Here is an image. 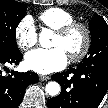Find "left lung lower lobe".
<instances>
[{
	"instance_id": "1",
	"label": "left lung lower lobe",
	"mask_w": 108,
	"mask_h": 108,
	"mask_svg": "<svg viewBox=\"0 0 108 108\" xmlns=\"http://www.w3.org/2000/svg\"><path fill=\"white\" fill-rule=\"evenodd\" d=\"M61 87V93L47 101L48 108H98L108 91V63L79 65L66 72L52 75ZM76 90L75 99L69 100V90Z\"/></svg>"
}]
</instances>
